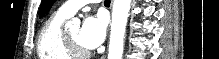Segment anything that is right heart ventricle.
<instances>
[{
	"label": "right heart ventricle",
	"instance_id": "obj_1",
	"mask_svg": "<svg viewBox=\"0 0 219 59\" xmlns=\"http://www.w3.org/2000/svg\"><path fill=\"white\" fill-rule=\"evenodd\" d=\"M67 15L57 11L53 13L41 28L37 40V55L39 59H72L67 52L63 30Z\"/></svg>",
	"mask_w": 219,
	"mask_h": 59
}]
</instances>
